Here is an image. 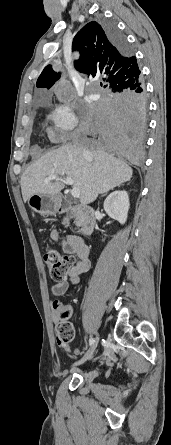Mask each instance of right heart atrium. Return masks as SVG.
<instances>
[{
  "label": "right heart atrium",
  "instance_id": "1",
  "mask_svg": "<svg viewBox=\"0 0 171 445\" xmlns=\"http://www.w3.org/2000/svg\"><path fill=\"white\" fill-rule=\"evenodd\" d=\"M50 119L52 122L51 138L54 142L66 141L74 133L78 124L77 113L67 101L55 107Z\"/></svg>",
  "mask_w": 171,
  "mask_h": 445
}]
</instances>
